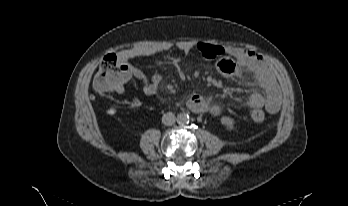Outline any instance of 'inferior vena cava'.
Wrapping results in <instances>:
<instances>
[{"instance_id": "602c4592", "label": "inferior vena cava", "mask_w": 348, "mask_h": 206, "mask_svg": "<svg viewBox=\"0 0 348 206\" xmlns=\"http://www.w3.org/2000/svg\"><path fill=\"white\" fill-rule=\"evenodd\" d=\"M176 117L172 112H167L162 116V123L166 126H171L175 123Z\"/></svg>"}]
</instances>
